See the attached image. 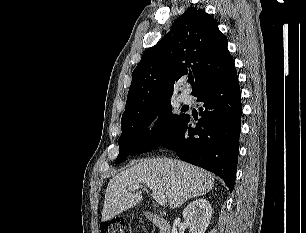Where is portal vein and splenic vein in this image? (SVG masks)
<instances>
[{"instance_id":"18ae733b","label":"portal vein and splenic vein","mask_w":306,"mask_h":233,"mask_svg":"<svg viewBox=\"0 0 306 233\" xmlns=\"http://www.w3.org/2000/svg\"><path fill=\"white\" fill-rule=\"evenodd\" d=\"M141 187V185H134L129 187V190H138ZM152 197L159 205H165L167 203V199L164 194L153 192Z\"/></svg>"}]
</instances>
